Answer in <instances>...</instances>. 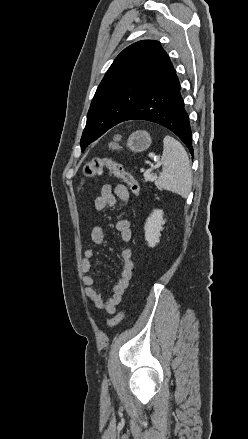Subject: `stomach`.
<instances>
[{
    "instance_id": "stomach-1",
    "label": "stomach",
    "mask_w": 248,
    "mask_h": 439,
    "mask_svg": "<svg viewBox=\"0 0 248 439\" xmlns=\"http://www.w3.org/2000/svg\"><path fill=\"white\" fill-rule=\"evenodd\" d=\"M152 139L147 131L133 132L127 141V147L133 152H142L150 147Z\"/></svg>"
}]
</instances>
